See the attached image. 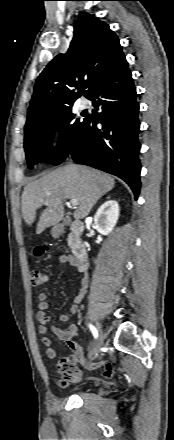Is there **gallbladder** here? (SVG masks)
Wrapping results in <instances>:
<instances>
[{
    "mask_svg": "<svg viewBox=\"0 0 174 440\" xmlns=\"http://www.w3.org/2000/svg\"><path fill=\"white\" fill-rule=\"evenodd\" d=\"M65 225H67L68 223L66 221H64Z\"/></svg>",
    "mask_w": 174,
    "mask_h": 440,
    "instance_id": "1",
    "label": "gallbladder"
}]
</instances>
